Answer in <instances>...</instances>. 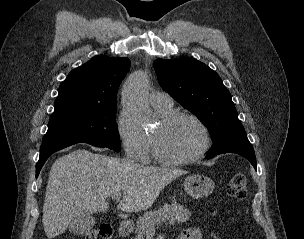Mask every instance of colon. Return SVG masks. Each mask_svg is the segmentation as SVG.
Segmentation results:
<instances>
[{"label": "colon", "instance_id": "1", "mask_svg": "<svg viewBox=\"0 0 304 239\" xmlns=\"http://www.w3.org/2000/svg\"><path fill=\"white\" fill-rule=\"evenodd\" d=\"M228 195L236 200H243L247 195V177L243 173L233 175L227 184ZM112 229L108 224H102L97 228L91 229L80 239H110Z\"/></svg>", "mask_w": 304, "mask_h": 239}]
</instances>
